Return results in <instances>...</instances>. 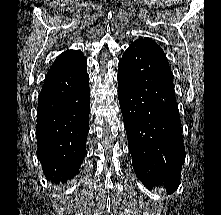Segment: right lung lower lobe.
Here are the masks:
<instances>
[{
	"label": "right lung lower lobe",
	"instance_id": "right-lung-lower-lobe-1",
	"mask_svg": "<svg viewBox=\"0 0 221 215\" xmlns=\"http://www.w3.org/2000/svg\"><path fill=\"white\" fill-rule=\"evenodd\" d=\"M90 111L85 57L47 74L37 108V156L48 180L66 182L86 153Z\"/></svg>",
	"mask_w": 221,
	"mask_h": 215
}]
</instances>
